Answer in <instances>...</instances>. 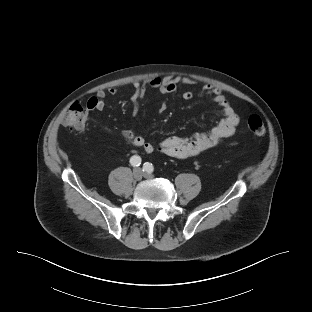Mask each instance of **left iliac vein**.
I'll return each instance as SVG.
<instances>
[{
	"label": "left iliac vein",
	"instance_id": "left-iliac-vein-1",
	"mask_svg": "<svg viewBox=\"0 0 312 312\" xmlns=\"http://www.w3.org/2000/svg\"><path fill=\"white\" fill-rule=\"evenodd\" d=\"M144 177H146V178H152L153 175H152V174H149V173H145V174H144Z\"/></svg>",
	"mask_w": 312,
	"mask_h": 312
}]
</instances>
